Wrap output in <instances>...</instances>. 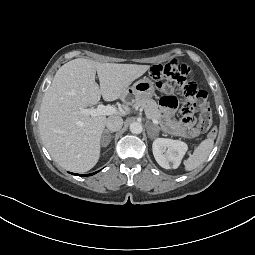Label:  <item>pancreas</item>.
Instances as JSON below:
<instances>
[{"mask_svg": "<svg viewBox=\"0 0 255 255\" xmlns=\"http://www.w3.org/2000/svg\"><path fill=\"white\" fill-rule=\"evenodd\" d=\"M134 108H143L148 119H161V112L158 109L157 103L150 98L134 99L131 103Z\"/></svg>", "mask_w": 255, "mask_h": 255, "instance_id": "pancreas-1", "label": "pancreas"}]
</instances>
